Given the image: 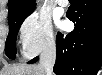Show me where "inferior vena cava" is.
Instances as JSON below:
<instances>
[{"mask_svg": "<svg viewBox=\"0 0 102 75\" xmlns=\"http://www.w3.org/2000/svg\"><path fill=\"white\" fill-rule=\"evenodd\" d=\"M56 60V45L55 41L50 40L44 48L39 65L42 66L46 72V75H53V66Z\"/></svg>", "mask_w": 102, "mask_h": 75, "instance_id": "obj_1", "label": "inferior vena cava"}]
</instances>
